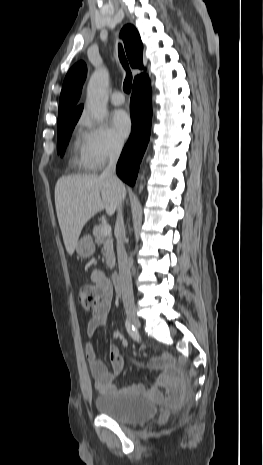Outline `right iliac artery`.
<instances>
[{
  "instance_id": "right-iliac-artery-1",
  "label": "right iliac artery",
  "mask_w": 263,
  "mask_h": 465,
  "mask_svg": "<svg viewBox=\"0 0 263 465\" xmlns=\"http://www.w3.org/2000/svg\"><path fill=\"white\" fill-rule=\"evenodd\" d=\"M125 326H126L127 332L132 337V339L139 342L140 335H139L137 329L134 327L133 324L130 323V321L128 319H126V321H125Z\"/></svg>"
}]
</instances>
